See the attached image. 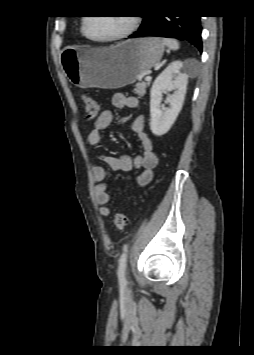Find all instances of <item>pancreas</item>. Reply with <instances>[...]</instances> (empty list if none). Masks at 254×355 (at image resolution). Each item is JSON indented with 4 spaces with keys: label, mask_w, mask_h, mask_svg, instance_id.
Masks as SVG:
<instances>
[{
    "label": "pancreas",
    "mask_w": 254,
    "mask_h": 355,
    "mask_svg": "<svg viewBox=\"0 0 254 355\" xmlns=\"http://www.w3.org/2000/svg\"><path fill=\"white\" fill-rule=\"evenodd\" d=\"M150 85V82H141L136 84V88L133 90L135 94L142 97L146 93V88Z\"/></svg>",
    "instance_id": "pancreas-1"
}]
</instances>
